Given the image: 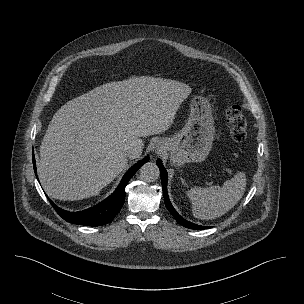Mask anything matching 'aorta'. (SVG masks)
Wrapping results in <instances>:
<instances>
[{
    "instance_id": "aorta-1",
    "label": "aorta",
    "mask_w": 304,
    "mask_h": 304,
    "mask_svg": "<svg viewBox=\"0 0 304 304\" xmlns=\"http://www.w3.org/2000/svg\"><path fill=\"white\" fill-rule=\"evenodd\" d=\"M159 176V168L155 163L147 162L140 168V178L145 182H154Z\"/></svg>"
}]
</instances>
